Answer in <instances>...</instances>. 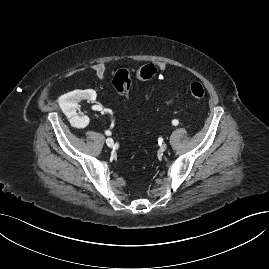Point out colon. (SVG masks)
I'll use <instances>...</instances> for the list:
<instances>
[{
  "instance_id": "1",
  "label": "colon",
  "mask_w": 269,
  "mask_h": 269,
  "mask_svg": "<svg viewBox=\"0 0 269 269\" xmlns=\"http://www.w3.org/2000/svg\"><path fill=\"white\" fill-rule=\"evenodd\" d=\"M158 73L159 69L156 66L146 65L140 69L138 78L146 80L157 76ZM132 80V74L125 69L117 71L113 78V86L127 100L130 97ZM189 93L195 101H201L205 96L204 87L199 82H194L190 85Z\"/></svg>"
}]
</instances>
